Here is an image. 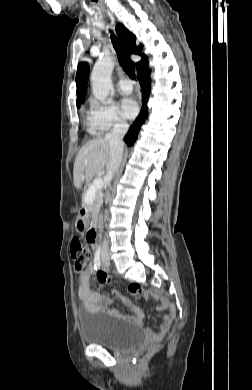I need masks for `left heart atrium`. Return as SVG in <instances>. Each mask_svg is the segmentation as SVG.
Segmentation results:
<instances>
[{
    "instance_id": "left-heart-atrium-1",
    "label": "left heart atrium",
    "mask_w": 252,
    "mask_h": 390,
    "mask_svg": "<svg viewBox=\"0 0 252 390\" xmlns=\"http://www.w3.org/2000/svg\"><path fill=\"white\" fill-rule=\"evenodd\" d=\"M121 110L125 117L134 118L138 113V104L132 98H124L121 101Z\"/></svg>"
}]
</instances>
